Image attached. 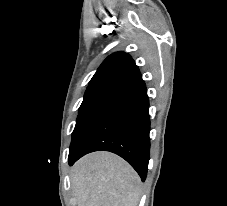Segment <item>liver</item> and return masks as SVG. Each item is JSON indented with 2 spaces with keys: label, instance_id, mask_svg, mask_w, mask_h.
<instances>
[{
  "label": "liver",
  "instance_id": "liver-1",
  "mask_svg": "<svg viewBox=\"0 0 227 206\" xmlns=\"http://www.w3.org/2000/svg\"><path fill=\"white\" fill-rule=\"evenodd\" d=\"M77 206H137L140 178L119 156L101 151L82 157L70 173Z\"/></svg>",
  "mask_w": 227,
  "mask_h": 206
}]
</instances>
